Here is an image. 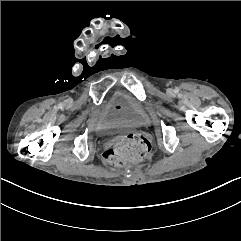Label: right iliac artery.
<instances>
[{"label": "right iliac artery", "instance_id": "right-iliac-artery-1", "mask_svg": "<svg viewBox=\"0 0 241 241\" xmlns=\"http://www.w3.org/2000/svg\"><path fill=\"white\" fill-rule=\"evenodd\" d=\"M59 107L62 108V104H59Z\"/></svg>", "mask_w": 241, "mask_h": 241}]
</instances>
